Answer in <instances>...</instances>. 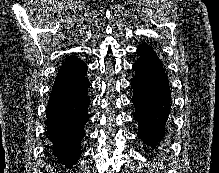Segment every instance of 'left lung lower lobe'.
I'll return each instance as SVG.
<instances>
[{
  "mask_svg": "<svg viewBox=\"0 0 219 173\" xmlns=\"http://www.w3.org/2000/svg\"><path fill=\"white\" fill-rule=\"evenodd\" d=\"M137 51L139 59L133 65L135 76L131 82L134 89V119L139 124L137 136L147 145L158 148L164 138L170 114V86L163 65L153 48L146 43Z\"/></svg>",
  "mask_w": 219,
  "mask_h": 173,
  "instance_id": "1",
  "label": "left lung lower lobe"
}]
</instances>
